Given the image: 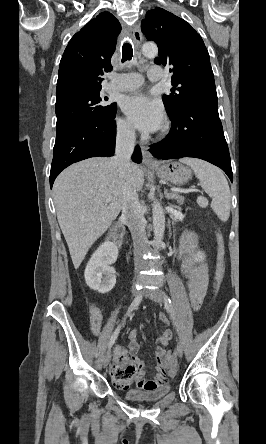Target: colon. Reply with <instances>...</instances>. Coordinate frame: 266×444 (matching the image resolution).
Instances as JSON below:
<instances>
[{"instance_id": "colon-1", "label": "colon", "mask_w": 266, "mask_h": 444, "mask_svg": "<svg viewBox=\"0 0 266 444\" xmlns=\"http://www.w3.org/2000/svg\"><path fill=\"white\" fill-rule=\"evenodd\" d=\"M217 261L215 270V282H214V293L216 294L221 286L224 273H225V247L224 239L221 232L217 231ZM167 363L171 371H175V356L173 351H168L166 354Z\"/></svg>"}]
</instances>
